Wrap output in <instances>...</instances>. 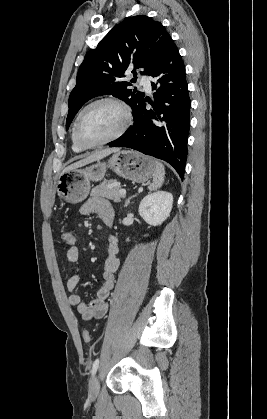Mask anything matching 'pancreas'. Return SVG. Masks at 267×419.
<instances>
[{
	"instance_id": "1",
	"label": "pancreas",
	"mask_w": 267,
	"mask_h": 419,
	"mask_svg": "<svg viewBox=\"0 0 267 419\" xmlns=\"http://www.w3.org/2000/svg\"><path fill=\"white\" fill-rule=\"evenodd\" d=\"M118 191L119 186L116 180H104L94 187L90 194L91 196L104 197L118 203L121 201V198H123Z\"/></svg>"
}]
</instances>
